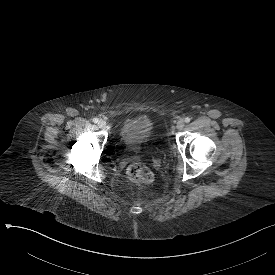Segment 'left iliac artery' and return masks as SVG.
<instances>
[{
	"label": "left iliac artery",
	"instance_id": "1",
	"mask_svg": "<svg viewBox=\"0 0 275 275\" xmlns=\"http://www.w3.org/2000/svg\"><path fill=\"white\" fill-rule=\"evenodd\" d=\"M190 121H191V119H190L189 117H186V118H185V122H186V123H189Z\"/></svg>",
	"mask_w": 275,
	"mask_h": 275
}]
</instances>
